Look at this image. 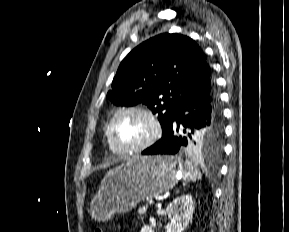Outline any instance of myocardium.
Here are the masks:
<instances>
[{
    "label": "myocardium",
    "instance_id": "1",
    "mask_svg": "<svg viewBox=\"0 0 289 232\" xmlns=\"http://www.w3.org/2000/svg\"><path fill=\"white\" fill-rule=\"evenodd\" d=\"M130 112H135L143 115L149 122L151 131L149 136L145 141L142 143L135 145V146H122L120 145L115 137H114V125L116 122V119L124 114V113H130ZM162 134V126L161 123L156 116V114L150 110L149 108L141 105H129L125 106L122 108H119L112 116L108 123V137L111 142V144L114 146L115 149H117L120 153H138L142 152L152 145H154L159 138L161 137Z\"/></svg>",
    "mask_w": 289,
    "mask_h": 232
}]
</instances>
